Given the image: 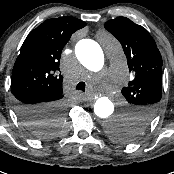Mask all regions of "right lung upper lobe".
Wrapping results in <instances>:
<instances>
[{
  "label": "right lung upper lobe",
  "mask_w": 174,
  "mask_h": 174,
  "mask_svg": "<svg viewBox=\"0 0 174 174\" xmlns=\"http://www.w3.org/2000/svg\"><path fill=\"white\" fill-rule=\"evenodd\" d=\"M85 25L81 20L65 16L48 19L32 30L13 67L12 94H29L32 97L24 101L27 104L61 99L63 77L58 75L59 58L71 35Z\"/></svg>",
  "instance_id": "obj_1"
}]
</instances>
